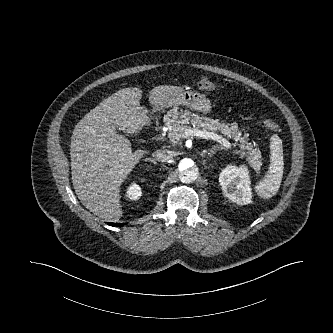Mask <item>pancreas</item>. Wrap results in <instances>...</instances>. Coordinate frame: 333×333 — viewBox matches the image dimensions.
<instances>
[{"instance_id": "cf45deb5", "label": "pancreas", "mask_w": 333, "mask_h": 333, "mask_svg": "<svg viewBox=\"0 0 333 333\" xmlns=\"http://www.w3.org/2000/svg\"><path fill=\"white\" fill-rule=\"evenodd\" d=\"M165 124L169 130L168 137L173 143H178L185 138V132L191 127L187 124H192L203 131H220L227 137H232L238 145L239 152L247 157L249 165L258 172L261 162V152L253 144L248 142L247 135L242 136L237 123L226 124L220 122L218 119H209L207 117H200L191 112L178 113L177 108L171 109L164 118Z\"/></svg>"}]
</instances>
